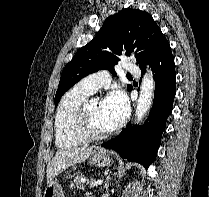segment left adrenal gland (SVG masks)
Instances as JSON below:
<instances>
[{
  "mask_svg": "<svg viewBox=\"0 0 209 197\" xmlns=\"http://www.w3.org/2000/svg\"><path fill=\"white\" fill-rule=\"evenodd\" d=\"M109 179H110V177L108 176V177L106 178V182H105V185H104L105 190L108 189V186H109Z\"/></svg>",
  "mask_w": 209,
  "mask_h": 197,
  "instance_id": "1",
  "label": "left adrenal gland"
}]
</instances>
